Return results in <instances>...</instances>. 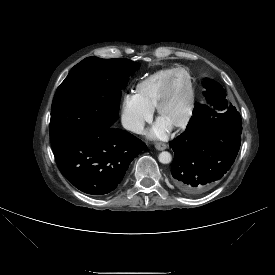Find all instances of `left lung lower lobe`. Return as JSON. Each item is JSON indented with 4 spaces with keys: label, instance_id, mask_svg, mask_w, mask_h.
<instances>
[{
    "label": "left lung lower lobe",
    "instance_id": "left-lung-lower-lobe-1",
    "mask_svg": "<svg viewBox=\"0 0 275 275\" xmlns=\"http://www.w3.org/2000/svg\"><path fill=\"white\" fill-rule=\"evenodd\" d=\"M241 133L215 122L187 128L170 142L175 153L171 166L174 185L187 195L214 188L238 154Z\"/></svg>",
    "mask_w": 275,
    "mask_h": 275
}]
</instances>
